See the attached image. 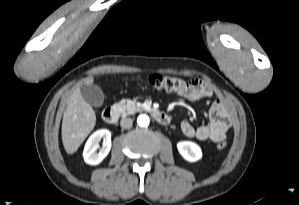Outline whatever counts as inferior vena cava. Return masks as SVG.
I'll return each instance as SVG.
<instances>
[{
	"mask_svg": "<svg viewBox=\"0 0 299 205\" xmlns=\"http://www.w3.org/2000/svg\"><path fill=\"white\" fill-rule=\"evenodd\" d=\"M133 124V120L131 118L128 117H124L121 119L120 121V126L124 129H129L132 127Z\"/></svg>",
	"mask_w": 299,
	"mask_h": 205,
	"instance_id": "1",
	"label": "inferior vena cava"
}]
</instances>
